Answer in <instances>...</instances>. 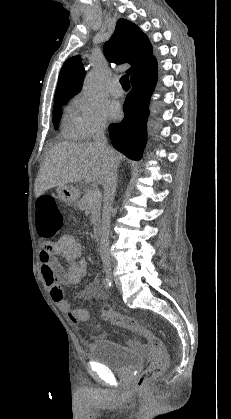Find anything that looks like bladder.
Here are the masks:
<instances>
[{
	"label": "bladder",
	"instance_id": "31cf9c89",
	"mask_svg": "<svg viewBox=\"0 0 231 419\" xmlns=\"http://www.w3.org/2000/svg\"><path fill=\"white\" fill-rule=\"evenodd\" d=\"M90 358L122 374L141 366L145 361L142 354L130 351L123 345L108 339H100L92 343Z\"/></svg>",
	"mask_w": 231,
	"mask_h": 419
}]
</instances>
